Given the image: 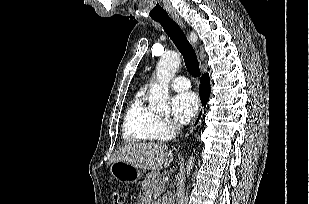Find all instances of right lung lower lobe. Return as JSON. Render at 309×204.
<instances>
[{
    "label": "right lung lower lobe",
    "mask_w": 309,
    "mask_h": 204,
    "mask_svg": "<svg viewBox=\"0 0 309 204\" xmlns=\"http://www.w3.org/2000/svg\"><path fill=\"white\" fill-rule=\"evenodd\" d=\"M200 96L202 104L205 107L210 96V79L208 74H204L201 78Z\"/></svg>",
    "instance_id": "obj_1"
}]
</instances>
